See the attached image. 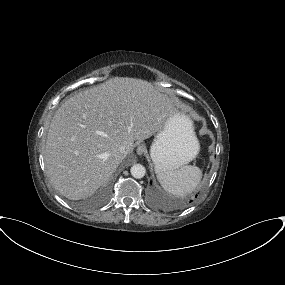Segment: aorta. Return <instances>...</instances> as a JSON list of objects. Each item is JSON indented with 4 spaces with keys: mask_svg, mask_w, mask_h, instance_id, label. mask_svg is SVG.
I'll use <instances>...</instances> for the list:
<instances>
[{
    "mask_svg": "<svg viewBox=\"0 0 285 285\" xmlns=\"http://www.w3.org/2000/svg\"><path fill=\"white\" fill-rule=\"evenodd\" d=\"M131 175L136 178L140 179L145 176L146 169L143 165L141 164H134L131 169H130Z\"/></svg>",
    "mask_w": 285,
    "mask_h": 285,
    "instance_id": "aorta-1",
    "label": "aorta"
}]
</instances>
